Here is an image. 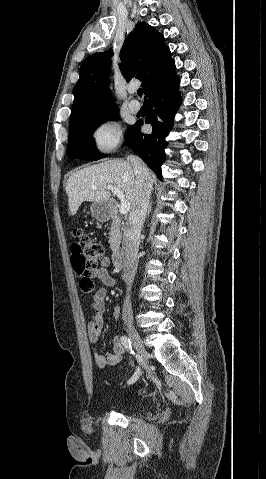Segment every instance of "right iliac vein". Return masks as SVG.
<instances>
[{
  "instance_id": "63e3f726",
  "label": "right iliac vein",
  "mask_w": 266,
  "mask_h": 479,
  "mask_svg": "<svg viewBox=\"0 0 266 479\" xmlns=\"http://www.w3.org/2000/svg\"><path fill=\"white\" fill-rule=\"evenodd\" d=\"M127 331H128V335H129V338L134 346V348L136 349V351L138 352V354L144 359L146 360L147 358V351L144 347V344H143V341L138 333V331L133 327V325L129 324L127 326Z\"/></svg>"
}]
</instances>
